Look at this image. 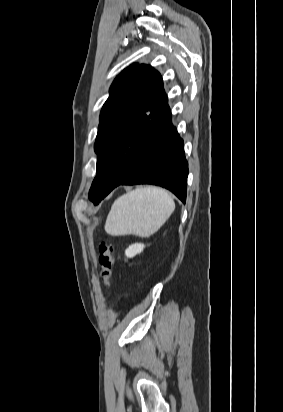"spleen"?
<instances>
[{
  "mask_svg": "<svg viewBox=\"0 0 283 412\" xmlns=\"http://www.w3.org/2000/svg\"><path fill=\"white\" fill-rule=\"evenodd\" d=\"M174 209V200L164 189L138 188L115 200L104 228L112 236L149 237L161 228Z\"/></svg>",
  "mask_w": 283,
  "mask_h": 412,
  "instance_id": "3e777b00",
  "label": "spleen"
}]
</instances>
